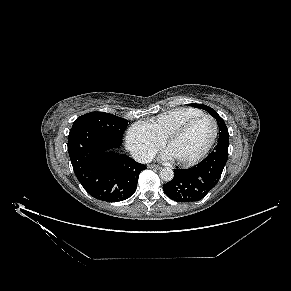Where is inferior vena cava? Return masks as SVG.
<instances>
[{"label":"inferior vena cava","mask_w":291,"mask_h":291,"mask_svg":"<svg viewBox=\"0 0 291 291\" xmlns=\"http://www.w3.org/2000/svg\"><path fill=\"white\" fill-rule=\"evenodd\" d=\"M132 157L138 163H150L152 161V155L147 151L136 150L132 152Z\"/></svg>","instance_id":"1"}]
</instances>
